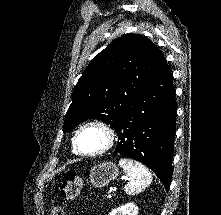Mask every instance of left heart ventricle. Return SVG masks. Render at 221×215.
I'll return each instance as SVG.
<instances>
[{
  "mask_svg": "<svg viewBox=\"0 0 221 215\" xmlns=\"http://www.w3.org/2000/svg\"><path fill=\"white\" fill-rule=\"evenodd\" d=\"M105 144L104 133L95 127L84 129L78 137V146L84 152H95Z\"/></svg>",
  "mask_w": 221,
  "mask_h": 215,
  "instance_id": "1",
  "label": "left heart ventricle"
}]
</instances>
